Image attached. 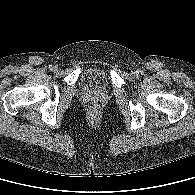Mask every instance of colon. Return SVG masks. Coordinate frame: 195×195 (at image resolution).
<instances>
[{"label":"colon","mask_w":195,"mask_h":195,"mask_svg":"<svg viewBox=\"0 0 195 195\" xmlns=\"http://www.w3.org/2000/svg\"><path fill=\"white\" fill-rule=\"evenodd\" d=\"M97 105L95 103H90L89 104V110L92 112V113H96L97 112Z\"/></svg>","instance_id":"colon-1"}]
</instances>
